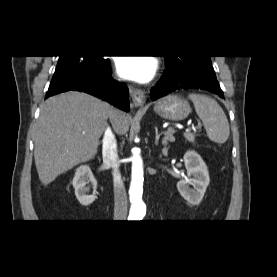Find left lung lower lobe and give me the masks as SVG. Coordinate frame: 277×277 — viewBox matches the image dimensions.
Wrapping results in <instances>:
<instances>
[{
  "mask_svg": "<svg viewBox=\"0 0 277 277\" xmlns=\"http://www.w3.org/2000/svg\"><path fill=\"white\" fill-rule=\"evenodd\" d=\"M186 88L206 90L224 98L213 68H193L185 71L166 69L151 89L150 97L154 101L175 90Z\"/></svg>",
  "mask_w": 277,
  "mask_h": 277,
  "instance_id": "0a47b994",
  "label": "left lung lower lobe"
}]
</instances>
